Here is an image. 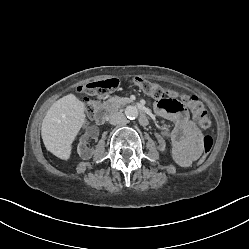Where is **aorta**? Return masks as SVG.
<instances>
[{"label": "aorta", "mask_w": 249, "mask_h": 249, "mask_svg": "<svg viewBox=\"0 0 249 249\" xmlns=\"http://www.w3.org/2000/svg\"><path fill=\"white\" fill-rule=\"evenodd\" d=\"M124 113L128 119H135L138 116L137 108L135 106H131V105L127 106L124 109Z\"/></svg>", "instance_id": "1"}]
</instances>
